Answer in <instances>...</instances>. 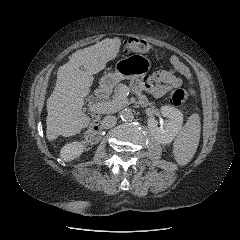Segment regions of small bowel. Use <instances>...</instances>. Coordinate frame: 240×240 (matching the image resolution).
Segmentation results:
<instances>
[{
    "instance_id": "obj_1",
    "label": "small bowel",
    "mask_w": 240,
    "mask_h": 240,
    "mask_svg": "<svg viewBox=\"0 0 240 240\" xmlns=\"http://www.w3.org/2000/svg\"><path fill=\"white\" fill-rule=\"evenodd\" d=\"M170 63L172 64V69L157 71L150 79L145 78L143 82H132V89L139 95L142 104L147 103L146 98L141 95L142 89H145L156 98H162L171 89L179 88L182 85V80L177 74L183 75L188 80L192 79L189 68L176 55L171 56Z\"/></svg>"
}]
</instances>
